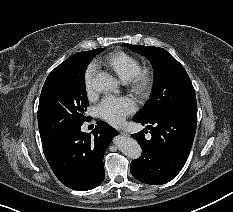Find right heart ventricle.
Here are the masks:
<instances>
[{
  "label": "right heart ventricle",
  "instance_id": "e07e8e85",
  "mask_svg": "<svg viewBox=\"0 0 233 212\" xmlns=\"http://www.w3.org/2000/svg\"><path fill=\"white\" fill-rule=\"evenodd\" d=\"M101 63L115 73L123 82H127L140 69V61L123 51L108 54Z\"/></svg>",
  "mask_w": 233,
  "mask_h": 212
}]
</instances>
